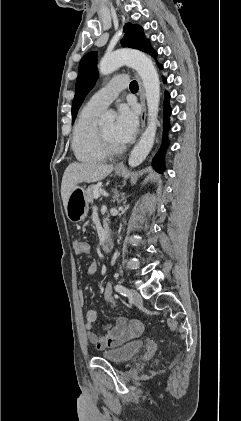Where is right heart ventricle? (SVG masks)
<instances>
[{
  "label": "right heart ventricle",
  "instance_id": "right-heart-ventricle-1",
  "mask_svg": "<svg viewBox=\"0 0 241 421\" xmlns=\"http://www.w3.org/2000/svg\"><path fill=\"white\" fill-rule=\"evenodd\" d=\"M100 111L84 106L75 123L72 135V150L77 160L84 163L104 161L107 154L98 138L96 118Z\"/></svg>",
  "mask_w": 241,
  "mask_h": 421
}]
</instances>
